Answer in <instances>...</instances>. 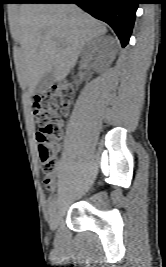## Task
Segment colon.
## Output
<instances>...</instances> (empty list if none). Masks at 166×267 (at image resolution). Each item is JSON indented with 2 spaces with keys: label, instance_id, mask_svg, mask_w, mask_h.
<instances>
[{
  "label": "colon",
  "instance_id": "colon-1",
  "mask_svg": "<svg viewBox=\"0 0 166 267\" xmlns=\"http://www.w3.org/2000/svg\"><path fill=\"white\" fill-rule=\"evenodd\" d=\"M73 88L67 82L58 83L33 100V114L38 125V152L44 179L56 170L57 142L62 136V115L73 102Z\"/></svg>",
  "mask_w": 166,
  "mask_h": 267
}]
</instances>
